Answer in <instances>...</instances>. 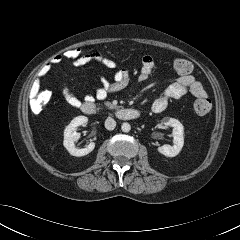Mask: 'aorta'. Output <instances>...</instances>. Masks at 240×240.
Masks as SVG:
<instances>
[{
  "mask_svg": "<svg viewBox=\"0 0 240 240\" xmlns=\"http://www.w3.org/2000/svg\"><path fill=\"white\" fill-rule=\"evenodd\" d=\"M121 130L123 131V132H129L130 130H131V126H130V124L129 123H123L122 125H121Z\"/></svg>",
  "mask_w": 240,
  "mask_h": 240,
  "instance_id": "762f6f07",
  "label": "aorta"
}]
</instances>
